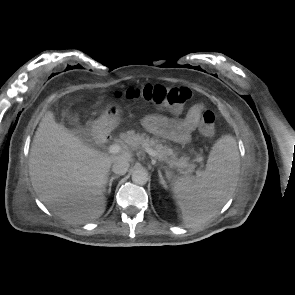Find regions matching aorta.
Instances as JSON below:
<instances>
[{
	"label": "aorta",
	"mask_w": 295,
	"mask_h": 295,
	"mask_svg": "<svg viewBox=\"0 0 295 295\" xmlns=\"http://www.w3.org/2000/svg\"><path fill=\"white\" fill-rule=\"evenodd\" d=\"M132 181L138 185H144L148 181V172L141 168L137 169L132 174Z\"/></svg>",
	"instance_id": "1"
}]
</instances>
